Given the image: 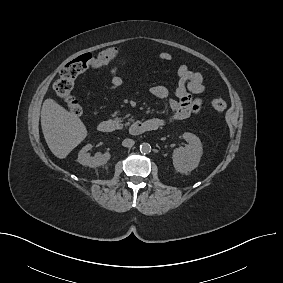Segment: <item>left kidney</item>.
<instances>
[{
    "label": "left kidney",
    "mask_w": 283,
    "mask_h": 283,
    "mask_svg": "<svg viewBox=\"0 0 283 283\" xmlns=\"http://www.w3.org/2000/svg\"><path fill=\"white\" fill-rule=\"evenodd\" d=\"M182 137L188 144L174 150L173 165L177 172L187 173L198 167L202 156V144L192 133L185 132Z\"/></svg>",
    "instance_id": "obj_1"
}]
</instances>
